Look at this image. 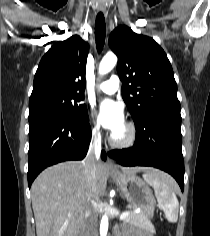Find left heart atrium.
<instances>
[{
    "instance_id": "left-heart-atrium-1",
    "label": "left heart atrium",
    "mask_w": 210,
    "mask_h": 236,
    "mask_svg": "<svg viewBox=\"0 0 210 236\" xmlns=\"http://www.w3.org/2000/svg\"><path fill=\"white\" fill-rule=\"evenodd\" d=\"M99 120L112 134L125 125L124 112L122 107L112 100L102 101L97 108Z\"/></svg>"
}]
</instances>
